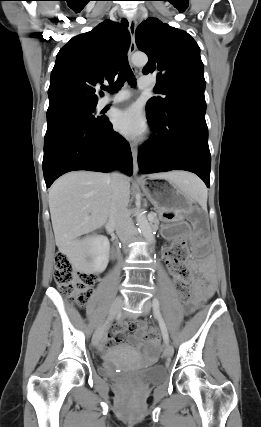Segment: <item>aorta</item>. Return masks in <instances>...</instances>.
<instances>
[{
	"mask_svg": "<svg viewBox=\"0 0 261 427\" xmlns=\"http://www.w3.org/2000/svg\"><path fill=\"white\" fill-rule=\"evenodd\" d=\"M131 60L133 65L137 67H144L148 62V57L144 53H137L132 56ZM136 221L143 236L148 242L153 244L155 242V238L153 234L152 225L150 222H148L147 217L142 213H138Z\"/></svg>",
	"mask_w": 261,
	"mask_h": 427,
	"instance_id": "1",
	"label": "aorta"
}]
</instances>
